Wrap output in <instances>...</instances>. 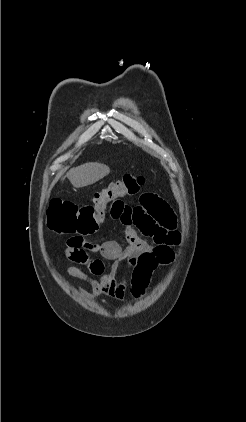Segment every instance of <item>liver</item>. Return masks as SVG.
Instances as JSON below:
<instances>
[{"mask_svg":"<svg viewBox=\"0 0 246 422\" xmlns=\"http://www.w3.org/2000/svg\"><path fill=\"white\" fill-rule=\"evenodd\" d=\"M109 173L110 168L104 164L86 163L70 169L66 176L75 188H82L94 184Z\"/></svg>","mask_w":246,"mask_h":422,"instance_id":"6515ba94","label":"liver"}]
</instances>
